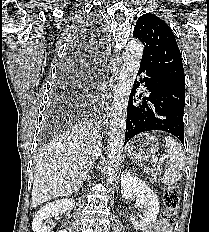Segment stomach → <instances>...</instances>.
Listing matches in <instances>:
<instances>
[{"instance_id": "1", "label": "stomach", "mask_w": 209, "mask_h": 232, "mask_svg": "<svg viewBox=\"0 0 209 232\" xmlns=\"http://www.w3.org/2000/svg\"><path fill=\"white\" fill-rule=\"evenodd\" d=\"M159 150L157 139L149 133H142L134 137L125 146V152L131 159L144 160L156 154Z\"/></svg>"}]
</instances>
